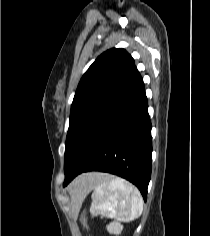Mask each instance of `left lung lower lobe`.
<instances>
[{"label": "left lung lower lobe", "mask_w": 210, "mask_h": 236, "mask_svg": "<svg viewBox=\"0 0 210 236\" xmlns=\"http://www.w3.org/2000/svg\"><path fill=\"white\" fill-rule=\"evenodd\" d=\"M147 107L139 76L78 137L64 163L63 185L82 172H108L135 184L146 201L152 153Z\"/></svg>", "instance_id": "obj_1"}]
</instances>
